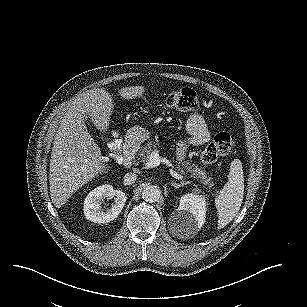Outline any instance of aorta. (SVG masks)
<instances>
[{
  "instance_id": "aorta-1",
  "label": "aorta",
  "mask_w": 307,
  "mask_h": 307,
  "mask_svg": "<svg viewBox=\"0 0 307 307\" xmlns=\"http://www.w3.org/2000/svg\"><path fill=\"white\" fill-rule=\"evenodd\" d=\"M161 197L159 186L148 184L142 190V198L147 202H156Z\"/></svg>"
}]
</instances>
